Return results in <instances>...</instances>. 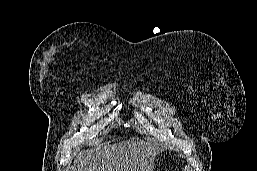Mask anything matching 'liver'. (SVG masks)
<instances>
[{
    "label": "liver",
    "mask_w": 257,
    "mask_h": 171,
    "mask_svg": "<svg viewBox=\"0 0 257 171\" xmlns=\"http://www.w3.org/2000/svg\"><path fill=\"white\" fill-rule=\"evenodd\" d=\"M157 152L142 140L104 144L79 153L71 171H153Z\"/></svg>",
    "instance_id": "obj_1"
}]
</instances>
